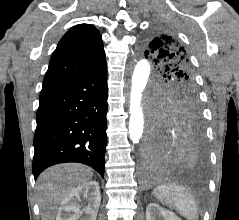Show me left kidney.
<instances>
[{
	"label": "left kidney",
	"instance_id": "left-kidney-1",
	"mask_svg": "<svg viewBox=\"0 0 239 220\" xmlns=\"http://www.w3.org/2000/svg\"><path fill=\"white\" fill-rule=\"evenodd\" d=\"M181 220L175 213L163 209L155 203H150L146 208V220Z\"/></svg>",
	"mask_w": 239,
	"mask_h": 220
}]
</instances>
